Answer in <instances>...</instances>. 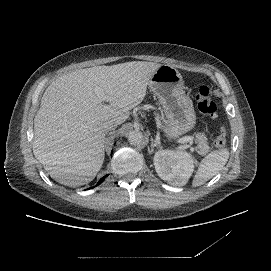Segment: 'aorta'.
Here are the masks:
<instances>
[{"instance_id":"1","label":"aorta","mask_w":271,"mask_h":271,"mask_svg":"<svg viewBox=\"0 0 271 271\" xmlns=\"http://www.w3.org/2000/svg\"><path fill=\"white\" fill-rule=\"evenodd\" d=\"M144 136L143 133L138 130V131H132L129 133L128 135V141L131 145H138L141 144L143 142Z\"/></svg>"}]
</instances>
